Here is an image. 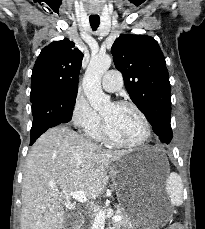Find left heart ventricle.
Returning <instances> with one entry per match:
<instances>
[{
	"label": "left heart ventricle",
	"instance_id": "b2bd125f",
	"mask_svg": "<svg viewBox=\"0 0 205 229\" xmlns=\"http://www.w3.org/2000/svg\"><path fill=\"white\" fill-rule=\"evenodd\" d=\"M111 135L122 142H134L144 133V127L137 113L130 107L108 103L101 111Z\"/></svg>",
	"mask_w": 205,
	"mask_h": 229
}]
</instances>
